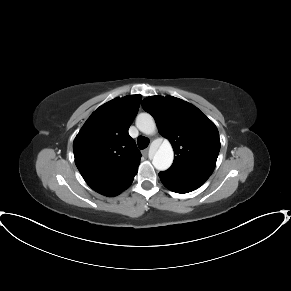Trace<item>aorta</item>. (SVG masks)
<instances>
[{
	"instance_id": "aorta-1",
	"label": "aorta",
	"mask_w": 291,
	"mask_h": 291,
	"mask_svg": "<svg viewBox=\"0 0 291 291\" xmlns=\"http://www.w3.org/2000/svg\"><path fill=\"white\" fill-rule=\"evenodd\" d=\"M137 128L146 135H153L157 131L154 118L148 113H141L136 118ZM174 152L168 140H164L156 150L152 163L159 171L167 170L173 162Z\"/></svg>"
}]
</instances>
